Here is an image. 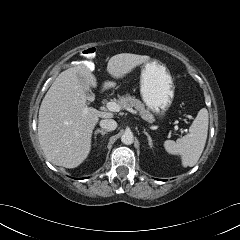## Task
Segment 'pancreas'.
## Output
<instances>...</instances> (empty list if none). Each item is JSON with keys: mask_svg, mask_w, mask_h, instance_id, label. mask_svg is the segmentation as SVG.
I'll list each match as a JSON object with an SVG mask.
<instances>
[{"mask_svg": "<svg viewBox=\"0 0 240 240\" xmlns=\"http://www.w3.org/2000/svg\"><path fill=\"white\" fill-rule=\"evenodd\" d=\"M116 102L124 109L135 108L142 119L146 120L147 122L152 123L154 121L153 114L149 111V109L145 108V105L140 100L136 99L134 96L126 94L120 97Z\"/></svg>", "mask_w": 240, "mask_h": 240, "instance_id": "1", "label": "pancreas"}]
</instances>
